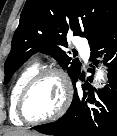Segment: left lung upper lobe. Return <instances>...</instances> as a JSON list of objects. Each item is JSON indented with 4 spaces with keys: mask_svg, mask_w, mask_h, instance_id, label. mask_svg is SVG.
<instances>
[{
    "mask_svg": "<svg viewBox=\"0 0 117 136\" xmlns=\"http://www.w3.org/2000/svg\"><path fill=\"white\" fill-rule=\"evenodd\" d=\"M116 19L117 0H27L4 64V84L36 52L53 55L73 82L81 63L64 50L66 35L86 37L91 45Z\"/></svg>",
    "mask_w": 117,
    "mask_h": 136,
    "instance_id": "obj_1",
    "label": "left lung upper lobe"
}]
</instances>
